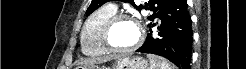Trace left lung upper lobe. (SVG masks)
I'll return each mask as SVG.
<instances>
[{
	"mask_svg": "<svg viewBox=\"0 0 246 69\" xmlns=\"http://www.w3.org/2000/svg\"><path fill=\"white\" fill-rule=\"evenodd\" d=\"M108 1L110 0H92L86 12L87 16ZM119 1L128 2L132 4L134 7H136V9L138 10L142 8L153 10L154 14L148 17V19L151 21H153L156 17H158V15L162 12V10H164L171 2V0H149L148 3H145L146 4L145 6L143 5L136 6L133 0H119Z\"/></svg>",
	"mask_w": 246,
	"mask_h": 69,
	"instance_id": "left-lung-upper-lobe-1",
	"label": "left lung upper lobe"
}]
</instances>
